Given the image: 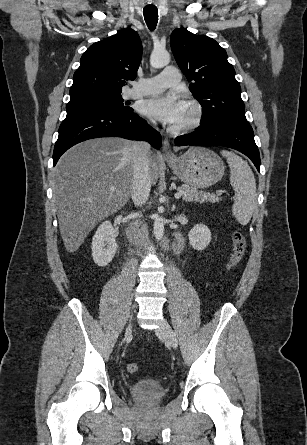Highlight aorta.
Listing matches in <instances>:
<instances>
[{"mask_svg": "<svg viewBox=\"0 0 307 445\" xmlns=\"http://www.w3.org/2000/svg\"><path fill=\"white\" fill-rule=\"evenodd\" d=\"M170 62V54L166 48H153L150 54V64L153 68H162V66H166ZM164 225L165 218L160 216V214H155L154 216V225H153V233L155 235V239L157 241H162L164 237Z\"/></svg>", "mask_w": 307, "mask_h": 445, "instance_id": "aorta-1", "label": "aorta"}]
</instances>
